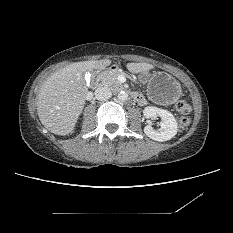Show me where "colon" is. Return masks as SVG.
Instances as JSON below:
<instances>
[{
  "instance_id": "5ec220e1",
  "label": "colon",
  "mask_w": 233,
  "mask_h": 233,
  "mask_svg": "<svg viewBox=\"0 0 233 233\" xmlns=\"http://www.w3.org/2000/svg\"><path fill=\"white\" fill-rule=\"evenodd\" d=\"M176 110L180 114L178 118L179 130H184L190 124L189 114L192 110L191 105L184 100H180L176 104Z\"/></svg>"
}]
</instances>
